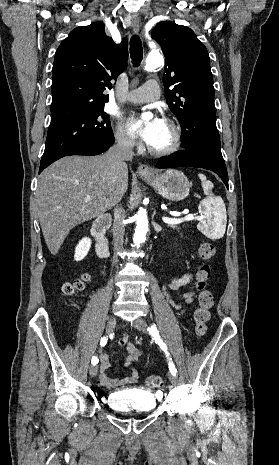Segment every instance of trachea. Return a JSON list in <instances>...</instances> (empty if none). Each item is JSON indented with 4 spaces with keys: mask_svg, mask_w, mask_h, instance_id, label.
I'll return each instance as SVG.
<instances>
[{
    "mask_svg": "<svg viewBox=\"0 0 279 465\" xmlns=\"http://www.w3.org/2000/svg\"><path fill=\"white\" fill-rule=\"evenodd\" d=\"M130 55L134 66H139L143 59L142 42L137 35H133L130 40Z\"/></svg>",
    "mask_w": 279,
    "mask_h": 465,
    "instance_id": "1",
    "label": "trachea"
}]
</instances>
